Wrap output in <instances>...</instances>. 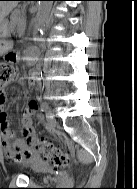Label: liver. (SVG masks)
Wrapping results in <instances>:
<instances>
[{
    "label": "liver",
    "instance_id": "6515ba94",
    "mask_svg": "<svg viewBox=\"0 0 137 189\" xmlns=\"http://www.w3.org/2000/svg\"><path fill=\"white\" fill-rule=\"evenodd\" d=\"M17 1H0V27H2L5 17L17 6Z\"/></svg>",
    "mask_w": 137,
    "mask_h": 189
}]
</instances>
